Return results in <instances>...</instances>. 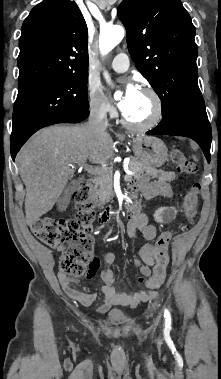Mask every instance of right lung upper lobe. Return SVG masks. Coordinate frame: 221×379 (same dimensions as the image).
<instances>
[{
  "mask_svg": "<svg viewBox=\"0 0 221 379\" xmlns=\"http://www.w3.org/2000/svg\"><path fill=\"white\" fill-rule=\"evenodd\" d=\"M18 85L67 74L88 73V31L77 4L45 0L22 25Z\"/></svg>",
  "mask_w": 221,
  "mask_h": 379,
  "instance_id": "obj_1",
  "label": "right lung upper lobe"
}]
</instances>
